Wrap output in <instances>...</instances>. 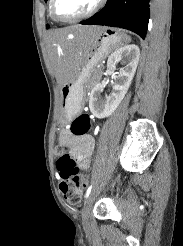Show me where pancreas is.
Instances as JSON below:
<instances>
[{
    "label": "pancreas",
    "mask_w": 183,
    "mask_h": 246,
    "mask_svg": "<svg viewBox=\"0 0 183 246\" xmlns=\"http://www.w3.org/2000/svg\"><path fill=\"white\" fill-rule=\"evenodd\" d=\"M99 72V70H94V73H98Z\"/></svg>",
    "instance_id": "pancreas-1"
}]
</instances>
